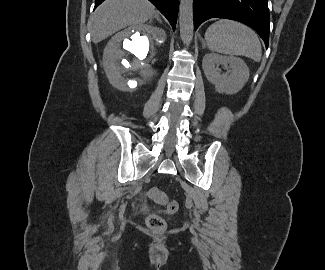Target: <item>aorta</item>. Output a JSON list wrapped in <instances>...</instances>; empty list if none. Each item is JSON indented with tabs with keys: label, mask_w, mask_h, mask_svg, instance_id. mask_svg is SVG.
Wrapping results in <instances>:
<instances>
[{
	"label": "aorta",
	"mask_w": 325,
	"mask_h": 270,
	"mask_svg": "<svg viewBox=\"0 0 325 270\" xmlns=\"http://www.w3.org/2000/svg\"><path fill=\"white\" fill-rule=\"evenodd\" d=\"M180 37L189 45L193 38V0H180L179 6Z\"/></svg>",
	"instance_id": "obj_1"
}]
</instances>
